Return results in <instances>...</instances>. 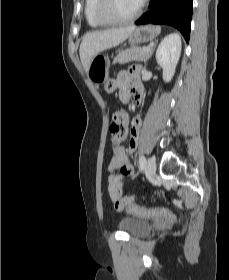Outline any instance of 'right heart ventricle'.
Segmentation results:
<instances>
[{
	"mask_svg": "<svg viewBox=\"0 0 229 280\" xmlns=\"http://www.w3.org/2000/svg\"><path fill=\"white\" fill-rule=\"evenodd\" d=\"M99 0H85L84 5V15L87 21V24L91 28L99 29L104 28L106 25L100 22L96 16V9Z\"/></svg>",
	"mask_w": 229,
	"mask_h": 280,
	"instance_id": "1",
	"label": "right heart ventricle"
}]
</instances>
